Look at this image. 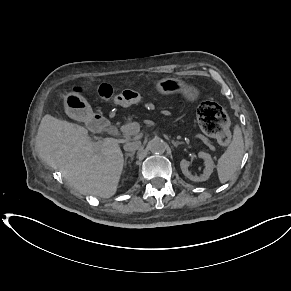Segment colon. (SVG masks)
<instances>
[{"mask_svg":"<svg viewBox=\"0 0 291 291\" xmlns=\"http://www.w3.org/2000/svg\"><path fill=\"white\" fill-rule=\"evenodd\" d=\"M73 91L82 93L85 89L83 86L77 85ZM98 94L105 100H113L120 104H135L140 101L139 96L130 90L115 95L113 87L108 83H102L98 87ZM197 119L204 133L216 138L222 145L229 144L231 140L230 120L223 107L214 101H204L197 109Z\"/></svg>","mask_w":291,"mask_h":291,"instance_id":"obj_1","label":"colon"}]
</instances>
